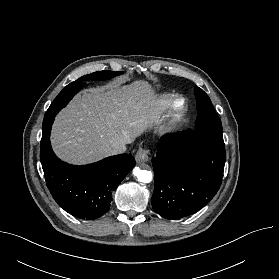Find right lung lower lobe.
Masks as SVG:
<instances>
[{"mask_svg": "<svg viewBox=\"0 0 279 279\" xmlns=\"http://www.w3.org/2000/svg\"><path fill=\"white\" fill-rule=\"evenodd\" d=\"M40 160L55 201L66 212L85 220L97 219L109 210L112 192L136 164L131 154H122L72 166L55 156L49 139L40 151Z\"/></svg>", "mask_w": 279, "mask_h": 279, "instance_id": "right-lung-lower-lobe-1", "label": "right lung lower lobe"}]
</instances>
